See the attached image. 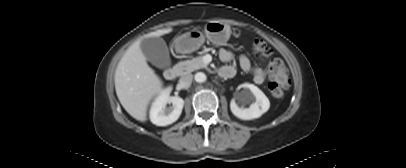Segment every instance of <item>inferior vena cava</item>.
<instances>
[{"instance_id":"602c4592","label":"inferior vena cava","mask_w":406,"mask_h":168,"mask_svg":"<svg viewBox=\"0 0 406 168\" xmlns=\"http://www.w3.org/2000/svg\"><path fill=\"white\" fill-rule=\"evenodd\" d=\"M193 80V75L191 73H186L180 78V85L182 88L187 89L190 87Z\"/></svg>"}]
</instances>
